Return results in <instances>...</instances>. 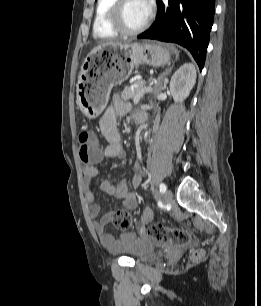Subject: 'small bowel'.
<instances>
[{"label": "small bowel", "mask_w": 261, "mask_h": 306, "mask_svg": "<svg viewBox=\"0 0 261 306\" xmlns=\"http://www.w3.org/2000/svg\"><path fill=\"white\" fill-rule=\"evenodd\" d=\"M130 109L131 106L128 102L122 100L119 96H115L112 105L103 113L99 122L101 132L106 140V145L101 154L102 158L119 160L125 158L126 152L121 143L118 120L127 115ZM139 114L140 113H136L135 116ZM142 170L143 161L142 158L139 157L134 164V175L131 181L134 187H138L141 183ZM82 172L84 192L88 204V213L90 218L93 220V229L101 243L109 250L116 253L123 252L133 247L135 243L139 241L134 233H124L119 238H115L113 235L105 231L106 226L111 222L112 212H106L100 219H97L100 215L101 207L95 199L92 179L99 174V169L91 162L83 166ZM101 190L122 201L125 209L133 210L137 207L136 195L129 189L128 183L125 180H119L117 182L104 180L101 183Z\"/></svg>", "instance_id": "obj_1"}]
</instances>
